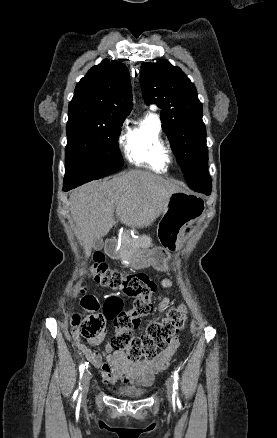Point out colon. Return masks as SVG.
Segmentation results:
<instances>
[{"instance_id":"colon-1","label":"colon","mask_w":277,"mask_h":438,"mask_svg":"<svg viewBox=\"0 0 277 438\" xmlns=\"http://www.w3.org/2000/svg\"><path fill=\"white\" fill-rule=\"evenodd\" d=\"M94 260L98 263L88 266V277L96 284L110 288L134 300L133 306L127 311L120 312L118 319L113 322V325L119 330L111 337V346L115 350L126 352L130 361L153 360L156 352L165 350L171 337L185 325L184 308L170 309L166 318L150 323L141 335L131 333L128 329L134 326L138 318L154 311L151 296L156 288L155 283L146 273H122L112 270L105 264L103 254L98 253ZM77 291L82 297V304L85 305L84 311L88 313L87 319L81 322L80 316L75 314L69 327L73 333L81 332L87 341L94 342L98 335L103 333L105 322L97 312L98 306L95 304V297L89 296L92 291L91 287L84 283L78 287ZM105 366L103 365V367Z\"/></svg>"}]
</instances>
